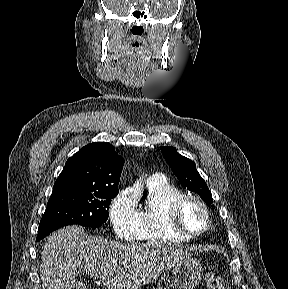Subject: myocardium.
Instances as JSON below:
<instances>
[{
    "instance_id": "myocardium-1",
    "label": "myocardium",
    "mask_w": 288,
    "mask_h": 289,
    "mask_svg": "<svg viewBox=\"0 0 288 289\" xmlns=\"http://www.w3.org/2000/svg\"><path fill=\"white\" fill-rule=\"evenodd\" d=\"M188 202L196 203L204 212L206 218V225L203 230L197 233H191L187 231L180 222L179 213L181 208ZM166 219L169 227L177 234L187 238L195 239L206 234L211 228V216L210 211L206 203L196 195L183 194L173 200H171L166 207Z\"/></svg>"
}]
</instances>
